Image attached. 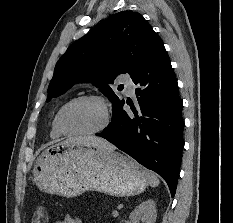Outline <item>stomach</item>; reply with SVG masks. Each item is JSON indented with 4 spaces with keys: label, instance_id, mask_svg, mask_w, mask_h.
<instances>
[{
    "label": "stomach",
    "instance_id": "obj_1",
    "mask_svg": "<svg viewBox=\"0 0 233 223\" xmlns=\"http://www.w3.org/2000/svg\"><path fill=\"white\" fill-rule=\"evenodd\" d=\"M32 173L38 189L63 197H77L84 191L126 197L142 193L149 183L146 169L124 153L71 141L48 145Z\"/></svg>",
    "mask_w": 233,
    "mask_h": 223
}]
</instances>
